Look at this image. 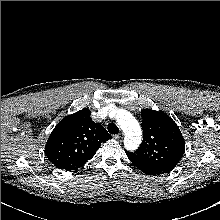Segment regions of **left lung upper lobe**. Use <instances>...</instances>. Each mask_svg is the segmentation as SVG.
<instances>
[{
	"label": "left lung upper lobe",
	"instance_id": "1",
	"mask_svg": "<svg viewBox=\"0 0 220 220\" xmlns=\"http://www.w3.org/2000/svg\"><path fill=\"white\" fill-rule=\"evenodd\" d=\"M143 141L135 152L126 151L130 160L157 174L168 173L181 160L185 141L177 124L166 113L151 109L141 111Z\"/></svg>",
	"mask_w": 220,
	"mask_h": 220
}]
</instances>
